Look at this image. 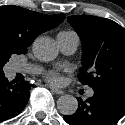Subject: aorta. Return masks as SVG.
Returning a JSON list of instances; mask_svg holds the SVG:
<instances>
[{"label":"aorta","mask_w":125,"mask_h":125,"mask_svg":"<svg viewBox=\"0 0 125 125\" xmlns=\"http://www.w3.org/2000/svg\"><path fill=\"white\" fill-rule=\"evenodd\" d=\"M32 50L36 58L45 62L55 59L58 54L55 42L49 37L37 38L33 43ZM57 107L61 114L72 115L78 108V102L72 95H63L58 99Z\"/></svg>","instance_id":"obj_1"}]
</instances>
